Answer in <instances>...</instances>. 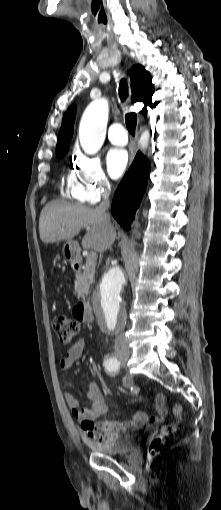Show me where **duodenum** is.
<instances>
[{
	"mask_svg": "<svg viewBox=\"0 0 221 510\" xmlns=\"http://www.w3.org/2000/svg\"><path fill=\"white\" fill-rule=\"evenodd\" d=\"M73 267L75 269H80V262L78 260L73 261ZM76 315L84 322L92 321V314L89 308L88 303L82 301L79 302L75 307Z\"/></svg>",
	"mask_w": 221,
	"mask_h": 510,
	"instance_id": "410a0bca",
	"label": "duodenum"
}]
</instances>
